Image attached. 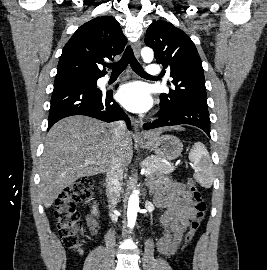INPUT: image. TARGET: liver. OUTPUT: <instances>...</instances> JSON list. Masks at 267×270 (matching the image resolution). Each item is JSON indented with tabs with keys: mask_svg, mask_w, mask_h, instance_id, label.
Masks as SVG:
<instances>
[{
	"mask_svg": "<svg viewBox=\"0 0 267 270\" xmlns=\"http://www.w3.org/2000/svg\"><path fill=\"white\" fill-rule=\"evenodd\" d=\"M170 129L176 128L149 131L145 137H156ZM132 156L130 133H125L116 146L112 124L80 115L60 120L48 132L40 160L44 206L51 207L58 195L76 180L107 172L113 158L125 168Z\"/></svg>",
	"mask_w": 267,
	"mask_h": 270,
	"instance_id": "1",
	"label": "liver"
}]
</instances>
